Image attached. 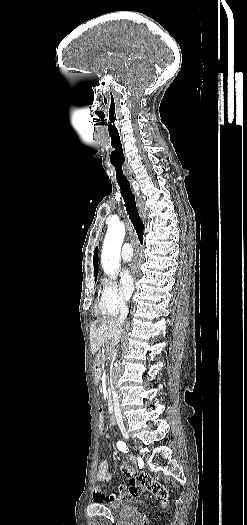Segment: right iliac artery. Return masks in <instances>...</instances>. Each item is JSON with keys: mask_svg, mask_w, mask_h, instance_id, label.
Listing matches in <instances>:
<instances>
[{"mask_svg": "<svg viewBox=\"0 0 247 525\" xmlns=\"http://www.w3.org/2000/svg\"><path fill=\"white\" fill-rule=\"evenodd\" d=\"M117 448L122 452H127L128 450L126 444L122 441L117 442Z\"/></svg>", "mask_w": 247, "mask_h": 525, "instance_id": "obj_1", "label": "right iliac artery"}]
</instances>
